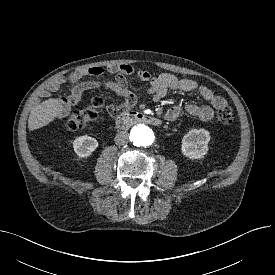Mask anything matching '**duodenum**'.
<instances>
[{
    "instance_id": "duodenum-1",
    "label": "duodenum",
    "mask_w": 275,
    "mask_h": 275,
    "mask_svg": "<svg viewBox=\"0 0 275 275\" xmlns=\"http://www.w3.org/2000/svg\"><path fill=\"white\" fill-rule=\"evenodd\" d=\"M139 122L153 126L161 125V120L158 117L139 112L124 113L119 115L116 119V125L121 130H125L131 125Z\"/></svg>"
}]
</instances>
